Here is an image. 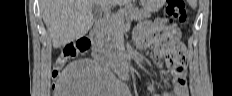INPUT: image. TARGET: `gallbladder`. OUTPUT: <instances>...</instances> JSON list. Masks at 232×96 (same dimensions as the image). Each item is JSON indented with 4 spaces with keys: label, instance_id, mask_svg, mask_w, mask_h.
Returning <instances> with one entry per match:
<instances>
[{
    "label": "gallbladder",
    "instance_id": "bac80fb5",
    "mask_svg": "<svg viewBox=\"0 0 232 96\" xmlns=\"http://www.w3.org/2000/svg\"><path fill=\"white\" fill-rule=\"evenodd\" d=\"M92 14L94 18V23H98L99 18H100V8L98 5L94 4L92 7Z\"/></svg>",
    "mask_w": 232,
    "mask_h": 96
}]
</instances>
